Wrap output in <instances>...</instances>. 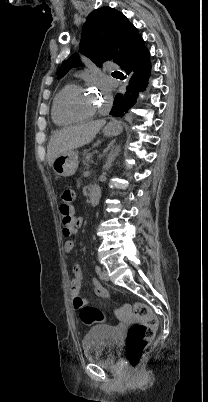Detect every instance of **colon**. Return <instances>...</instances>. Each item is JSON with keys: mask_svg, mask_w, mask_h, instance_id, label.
<instances>
[{"mask_svg": "<svg viewBox=\"0 0 208 402\" xmlns=\"http://www.w3.org/2000/svg\"><path fill=\"white\" fill-rule=\"evenodd\" d=\"M75 192L71 188H66L60 193L59 210L61 216V227L64 236L73 234L75 224L78 222L74 214ZM77 306L81 321L88 326L102 323L107 320V316L95 306L85 305L80 297L73 303ZM135 314L142 319V323L127 324V346L128 362L133 365V370L137 371V365L143 358L149 339L153 336L155 327L159 326L158 318H150V311L146 307L138 304L134 305Z\"/></svg>", "mask_w": 208, "mask_h": 402, "instance_id": "colon-1", "label": "colon"}]
</instances>
